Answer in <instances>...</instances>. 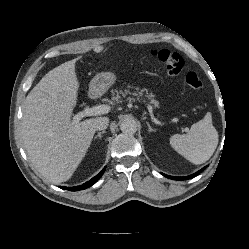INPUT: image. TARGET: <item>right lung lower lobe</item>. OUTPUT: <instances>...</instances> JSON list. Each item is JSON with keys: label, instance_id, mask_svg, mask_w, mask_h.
Returning a JSON list of instances; mask_svg holds the SVG:
<instances>
[{"label": "right lung lower lobe", "instance_id": "1", "mask_svg": "<svg viewBox=\"0 0 249 249\" xmlns=\"http://www.w3.org/2000/svg\"><path fill=\"white\" fill-rule=\"evenodd\" d=\"M104 171H105V168H103V170L99 174H97L95 177H93L90 181H88V182H86V183H84V184H82L80 186H76V187H64V186H61L60 188L70 190V191H79V190L86 189V188L92 186L94 183H96L101 178Z\"/></svg>", "mask_w": 249, "mask_h": 249}]
</instances>
